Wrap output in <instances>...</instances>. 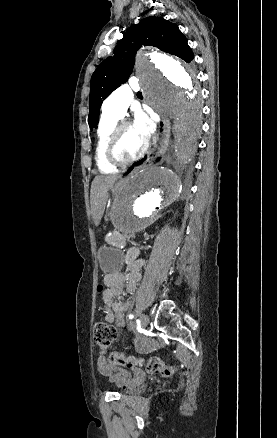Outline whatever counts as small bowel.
Wrapping results in <instances>:
<instances>
[{
  "label": "small bowel",
  "mask_w": 277,
  "mask_h": 438,
  "mask_svg": "<svg viewBox=\"0 0 277 438\" xmlns=\"http://www.w3.org/2000/svg\"><path fill=\"white\" fill-rule=\"evenodd\" d=\"M137 256L138 252L135 249L130 250L127 254V261L130 264L128 275L110 273L104 277L105 290L102 294V311L107 322L114 323L120 328L125 326L124 317L131 309V300L122 299L121 296L124 291L132 295L140 279L139 270L143 265V261L139 260ZM117 297L120 299L115 300ZM96 369L99 374L107 377L111 383L119 387H134L142 379L140 370L130 374L124 368H116L115 363H106L105 357L98 358Z\"/></svg>",
  "instance_id": "c3829d8e"
}]
</instances>
